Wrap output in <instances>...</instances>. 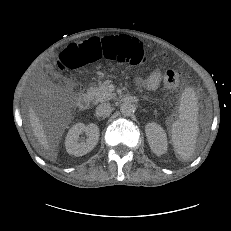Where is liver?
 <instances>
[{
    "instance_id": "obj_1",
    "label": "liver",
    "mask_w": 231,
    "mask_h": 231,
    "mask_svg": "<svg viewBox=\"0 0 231 231\" xmlns=\"http://www.w3.org/2000/svg\"><path fill=\"white\" fill-rule=\"evenodd\" d=\"M29 119L32 131L41 146V149L38 151L39 154L45 158L54 159L56 157V152H54L53 148L50 146L43 125L32 107L29 110Z\"/></svg>"
}]
</instances>
